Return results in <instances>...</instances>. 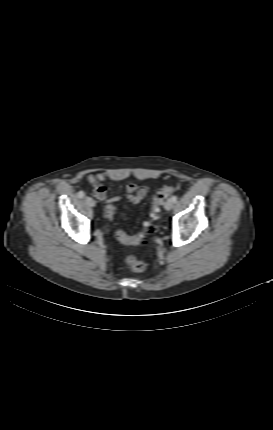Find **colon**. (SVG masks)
Returning <instances> with one entry per match:
<instances>
[{
	"mask_svg": "<svg viewBox=\"0 0 273 430\" xmlns=\"http://www.w3.org/2000/svg\"><path fill=\"white\" fill-rule=\"evenodd\" d=\"M175 192V187L173 186H166L161 189H159L157 192H155L152 195L151 198V208L149 217L150 219L143 222L141 230L133 235L128 236L125 233H123L120 230L116 231V235L119 239L123 237H128L129 243H140L146 239L147 236L154 233L155 227L152 223V220H155L159 213H160V206L165 202V200L171 196ZM115 212V206H107L105 209V214L107 217L112 218ZM124 262L127 265L128 268H130L133 271H142L145 268L144 262L140 259V257L137 255V253L133 250L131 247H127L124 250Z\"/></svg>",
	"mask_w": 273,
	"mask_h": 430,
	"instance_id": "5ec220e1",
	"label": "colon"
}]
</instances>
